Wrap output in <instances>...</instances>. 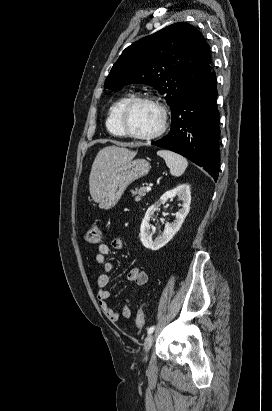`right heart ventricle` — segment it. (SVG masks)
<instances>
[{
	"instance_id": "e07e8e85",
	"label": "right heart ventricle",
	"mask_w": 272,
	"mask_h": 411,
	"mask_svg": "<svg viewBox=\"0 0 272 411\" xmlns=\"http://www.w3.org/2000/svg\"><path fill=\"white\" fill-rule=\"evenodd\" d=\"M130 98L131 96L129 94L122 95L116 101L112 103V105L110 106L108 110L106 121H105V126L108 132L114 136H117V137L124 136L121 131L120 125H119V113L123 105Z\"/></svg>"
}]
</instances>
